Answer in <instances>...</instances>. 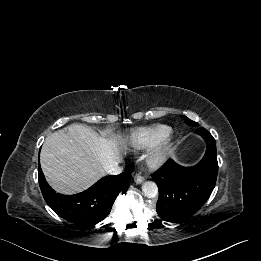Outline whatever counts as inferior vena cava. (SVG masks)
<instances>
[{"instance_id":"602c4592","label":"inferior vena cava","mask_w":261,"mask_h":261,"mask_svg":"<svg viewBox=\"0 0 261 261\" xmlns=\"http://www.w3.org/2000/svg\"><path fill=\"white\" fill-rule=\"evenodd\" d=\"M122 171H123V167L116 164L112 168H110L107 173L111 175H117L120 174Z\"/></svg>"}]
</instances>
